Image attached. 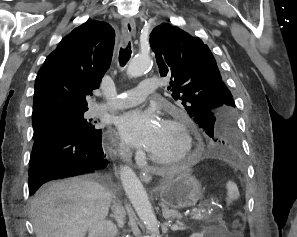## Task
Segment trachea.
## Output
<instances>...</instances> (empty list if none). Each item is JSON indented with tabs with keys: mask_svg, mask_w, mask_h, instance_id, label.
I'll return each instance as SVG.
<instances>
[{
	"mask_svg": "<svg viewBox=\"0 0 297 237\" xmlns=\"http://www.w3.org/2000/svg\"><path fill=\"white\" fill-rule=\"evenodd\" d=\"M131 43L129 42L126 47L120 48L119 52V63L123 67L129 61L131 57Z\"/></svg>",
	"mask_w": 297,
	"mask_h": 237,
	"instance_id": "obj_1",
	"label": "trachea"
}]
</instances>
